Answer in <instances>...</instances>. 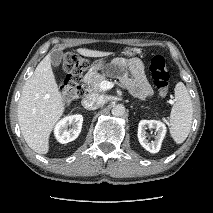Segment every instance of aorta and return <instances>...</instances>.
<instances>
[{
    "label": "aorta",
    "instance_id": "762f6f07",
    "mask_svg": "<svg viewBox=\"0 0 213 213\" xmlns=\"http://www.w3.org/2000/svg\"><path fill=\"white\" fill-rule=\"evenodd\" d=\"M112 115L115 117H120L122 115H124L125 113V107L122 104H116L113 108H112Z\"/></svg>",
    "mask_w": 213,
    "mask_h": 213
}]
</instances>
